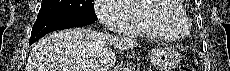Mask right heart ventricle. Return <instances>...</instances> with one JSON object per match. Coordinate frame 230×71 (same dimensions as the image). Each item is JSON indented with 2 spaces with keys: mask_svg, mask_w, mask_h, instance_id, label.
<instances>
[{
  "mask_svg": "<svg viewBox=\"0 0 230 71\" xmlns=\"http://www.w3.org/2000/svg\"><path fill=\"white\" fill-rule=\"evenodd\" d=\"M142 2V1H140ZM173 8L178 12H184L181 2H177L173 5ZM130 13L134 17V23L131 28H128L124 34L130 36H148L152 38H161V39H175L165 33H162L156 30L148 21L147 13L142 4H133L128 5Z\"/></svg>",
  "mask_w": 230,
  "mask_h": 71,
  "instance_id": "right-heart-ventricle-1",
  "label": "right heart ventricle"
}]
</instances>
